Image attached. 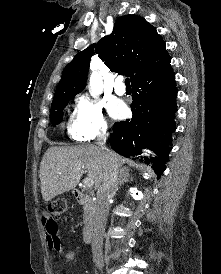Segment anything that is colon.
Segmentation results:
<instances>
[{
  "label": "colon",
  "instance_id": "colon-1",
  "mask_svg": "<svg viewBox=\"0 0 221 274\" xmlns=\"http://www.w3.org/2000/svg\"><path fill=\"white\" fill-rule=\"evenodd\" d=\"M67 209V202L63 198H58L52 201L49 205V212L54 218H61ZM72 252H65L63 257L66 261H71L73 259Z\"/></svg>",
  "mask_w": 221,
  "mask_h": 274
}]
</instances>
